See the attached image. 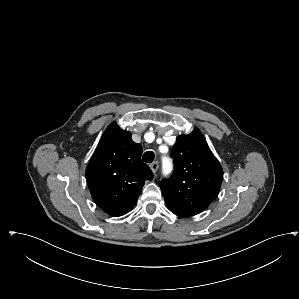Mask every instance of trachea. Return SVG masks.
Masks as SVG:
<instances>
[{
	"label": "trachea",
	"mask_w": 299,
	"mask_h": 299,
	"mask_svg": "<svg viewBox=\"0 0 299 299\" xmlns=\"http://www.w3.org/2000/svg\"><path fill=\"white\" fill-rule=\"evenodd\" d=\"M154 157H155L154 152L147 151V152L144 153L142 159L146 163H152L153 160H154Z\"/></svg>",
	"instance_id": "1"
}]
</instances>
